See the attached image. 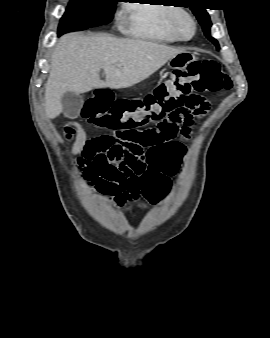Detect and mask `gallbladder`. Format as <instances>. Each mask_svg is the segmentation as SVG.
Returning a JSON list of instances; mask_svg holds the SVG:
<instances>
[{"label":"gallbladder","mask_w":270,"mask_h":338,"mask_svg":"<svg viewBox=\"0 0 270 338\" xmlns=\"http://www.w3.org/2000/svg\"><path fill=\"white\" fill-rule=\"evenodd\" d=\"M83 102V96L80 94L73 92L64 93L61 97L64 116L71 119L77 118L82 109Z\"/></svg>","instance_id":"bac80fb5"}]
</instances>
